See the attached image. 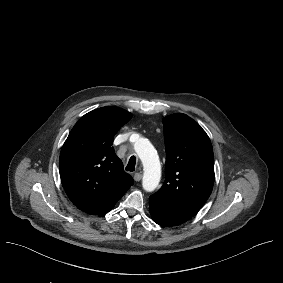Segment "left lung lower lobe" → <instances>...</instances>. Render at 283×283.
<instances>
[{
	"label": "left lung lower lobe",
	"mask_w": 283,
	"mask_h": 283,
	"mask_svg": "<svg viewBox=\"0 0 283 283\" xmlns=\"http://www.w3.org/2000/svg\"><path fill=\"white\" fill-rule=\"evenodd\" d=\"M199 208L174 203L161 196H150V213L154 222L161 226H177L192 218Z\"/></svg>",
	"instance_id": "0a47b994"
}]
</instances>
